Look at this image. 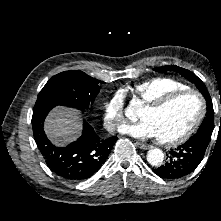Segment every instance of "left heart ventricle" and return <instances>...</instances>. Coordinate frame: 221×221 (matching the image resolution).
<instances>
[{"label":"left heart ventricle","mask_w":221,"mask_h":221,"mask_svg":"<svg viewBox=\"0 0 221 221\" xmlns=\"http://www.w3.org/2000/svg\"><path fill=\"white\" fill-rule=\"evenodd\" d=\"M198 112V99L194 95H183L159 111L142 108L139 118L152 124L157 138L167 140L182 134L192 124Z\"/></svg>","instance_id":"obj_1"}]
</instances>
